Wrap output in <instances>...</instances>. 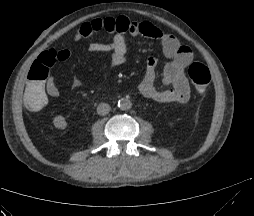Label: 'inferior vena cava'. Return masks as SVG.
I'll use <instances>...</instances> for the list:
<instances>
[{
  "label": "inferior vena cava",
  "instance_id": "obj_1",
  "mask_svg": "<svg viewBox=\"0 0 254 216\" xmlns=\"http://www.w3.org/2000/svg\"><path fill=\"white\" fill-rule=\"evenodd\" d=\"M110 105L107 103H100L97 107V113L99 115H106L110 112Z\"/></svg>",
  "mask_w": 254,
  "mask_h": 216
}]
</instances>
